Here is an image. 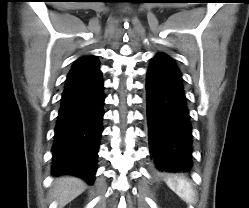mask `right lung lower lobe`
<instances>
[{
    "label": "right lung lower lobe",
    "mask_w": 249,
    "mask_h": 208,
    "mask_svg": "<svg viewBox=\"0 0 249 208\" xmlns=\"http://www.w3.org/2000/svg\"><path fill=\"white\" fill-rule=\"evenodd\" d=\"M101 72L65 87L52 148V174L94 182L104 115Z\"/></svg>",
    "instance_id": "right-lung-lower-lobe-1"
}]
</instances>
